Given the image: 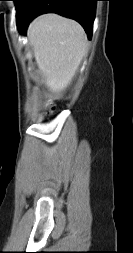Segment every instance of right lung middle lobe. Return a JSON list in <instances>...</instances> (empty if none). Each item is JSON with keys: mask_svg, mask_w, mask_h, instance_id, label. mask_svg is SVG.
I'll return each mask as SVG.
<instances>
[{"mask_svg": "<svg viewBox=\"0 0 133 253\" xmlns=\"http://www.w3.org/2000/svg\"><path fill=\"white\" fill-rule=\"evenodd\" d=\"M15 2V6H16V19L19 18L23 5L27 0H13Z\"/></svg>", "mask_w": 133, "mask_h": 253, "instance_id": "obj_1", "label": "right lung middle lobe"}]
</instances>
